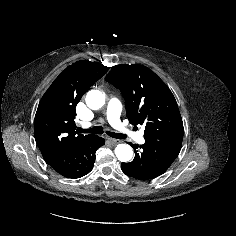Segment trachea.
Masks as SVG:
<instances>
[{
	"instance_id": "trachea-1",
	"label": "trachea",
	"mask_w": 236,
	"mask_h": 236,
	"mask_svg": "<svg viewBox=\"0 0 236 236\" xmlns=\"http://www.w3.org/2000/svg\"><path fill=\"white\" fill-rule=\"evenodd\" d=\"M80 132L89 133V134H102L104 132V129L102 126H95V127L90 128L88 130L80 129ZM106 133L110 137L115 138V139H125L126 138V136L121 133H115V132H110V131H106Z\"/></svg>"
}]
</instances>
